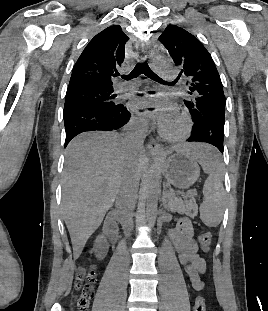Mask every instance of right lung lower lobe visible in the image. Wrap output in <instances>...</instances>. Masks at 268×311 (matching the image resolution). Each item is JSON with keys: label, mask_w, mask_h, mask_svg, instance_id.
I'll use <instances>...</instances> for the list:
<instances>
[{"label": "right lung lower lobe", "mask_w": 268, "mask_h": 311, "mask_svg": "<svg viewBox=\"0 0 268 311\" xmlns=\"http://www.w3.org/2000/svg\"><path fill=\"white\" fill-rule=\"evenodd\" d=\"M130 112L123 104L111 110L89 106L71 107L64 117L65 147L76 135L86 131H112L121 128L130 119Z\"/></svg>", "instance_id": "obj_1"}]
</instances>
